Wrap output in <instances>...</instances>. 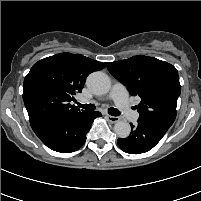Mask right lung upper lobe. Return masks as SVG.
Instances as JSON below:
<instances>
[{"label": "right lung upper lobe", "mask_w": 201, "mask_h": 201, "mask_svg": "<svg viewBox=\"0 0 201 201\" xmlns=\"http://www.w3.org/2000/svg\"><path fill=\"white\" fill-rule=\"evenodd\" d=\"M104 67L102 62L71 53L56 54L35 63L23 85L30 122L40 118L68 119L87 112L70 102L81 92L86 77Z\"/></svg>", "instance_id": "obj_1"}]
</instances>
